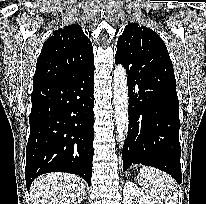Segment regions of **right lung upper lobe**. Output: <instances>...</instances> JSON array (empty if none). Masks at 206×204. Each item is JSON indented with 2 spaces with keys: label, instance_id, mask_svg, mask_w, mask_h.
Returning a JSON list of instances; mask_svg holds the SVG:
<instances>
[{
  "label": "right lung upper lobe",
  "instance_id": "obj_1",
  "mask_svg": "<svg viewBox=\"0 0 206 204\" xmlns=\"http://www.w3.org/2000/svg\"><path fill=\"white\" fill-rule=\"evenodd\" d=\"M94 62L92 44L78 25L53 32L37 60L33 85L61 79L84 70Z\"/></svg>",
  "mask_w": 206,
  "mask_h": 204
}]
</instances>
